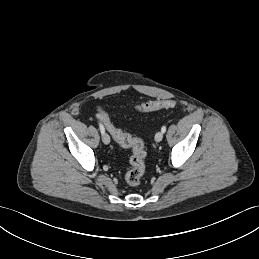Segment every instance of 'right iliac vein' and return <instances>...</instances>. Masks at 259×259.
Wrapping results in <instances>:
<instances>
[{
  "label": "right iliac vein",
  "instance_id": "63e3f726",
  "mask_svg": "<svg viewBox=\"0 0 259 259\" xmlns=\"http://www.w3.org/2000/svg\"><path fill=\"white\" fill-rule=\"evenodd\" d=\"M102 140L104 142V144H109L110 143V137L107 133H103L102 134Z\"/></svg>",
  "mask_w": 259,
  "mask_h": 259
}]
</instances>
